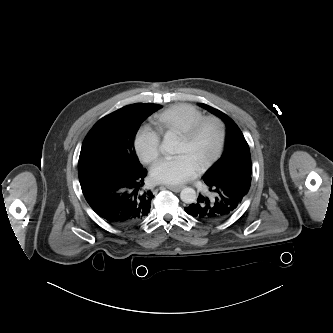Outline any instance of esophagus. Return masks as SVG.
<instances>
[{
  "label": "esophagus",
  "instance_id": "1",
  "mask_svg": "<svg viewBox=\"0 0 333 333\" xmlns=\"http://www.w3.org/2000/svg\"><path fill=\"white\" fill-rule=\"evenodd\" d=\"M166 188H168L169 190H172L174 192H179L181 189H183V186H171V185H167Z\"/></svg>",
  "mask_w": 333,
  "mask_h": 333
}]
</instances>
